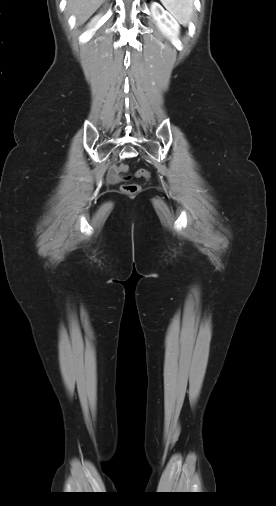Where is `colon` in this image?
Wrapping results in <instances>:
<instances>
[{
	"instance_id": "colon-1",
	"label": "colon",
	"mask_w": 276,
	"mask_h": 506,
	"mask_svg": "<svg viewBox=\"0 0 276 506\" xmlns=\"http://www.w3.org/2000/svg\"><path fill=\"white\" fill-rule=\"evenodd\" d=\"M128 170H129L128 165L123 164V163L118 164L117 167H116V171L119 174L120 178L122 180L126 181V183H124L122 185L123 192H125L127 194L134 195V194H136V193L139 192L140 187L137 184L128 183L127 182L129 180ZM137 176L144 177V178H149L150 174H149V172L147 170L140 169L137 172Z\"/></svg>"
}]
</instances>
